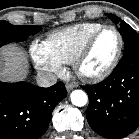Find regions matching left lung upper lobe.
Listing matches in <instances>:
<instances>
[{
    "label": "left lung upper lobe",
    "mask_w": 139,
    "mask_h": 139,
    "mask_svg": "<svg viewBox=\"0 0 139 139\" xmlns=\"http://www.w3.org/2000/svg\"><path fill=\"white\" fill-rule=\"evenodd\" d=\"M109 18L120 26V34L124 38V53L139 48V35L127 23L122 21L119 17L113 14H107Z\"/></svg>",
    "instance_id": "left-lung-upper-lobe-1"
}]
</instances>
